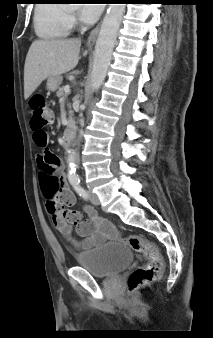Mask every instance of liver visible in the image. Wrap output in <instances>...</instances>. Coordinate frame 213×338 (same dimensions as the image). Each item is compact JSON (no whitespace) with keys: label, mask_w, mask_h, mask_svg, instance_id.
Segmentation results:
<instances>
[{"label":"liver","mask_w":213,"mask_h":338,"mask_svg":"<svg viewBox=\"0 0 213 338\" xmlns=\"http://www.w3.org/2000/svg\"><path fill=\"white\" fill-rule=\"evenodd\" d=\"M80 47V39L34 41L25 60L24 98L28 99L48 77L74 69L78 64Z\"/></svg>","instance_id":"liver-1"}]
</instances>
